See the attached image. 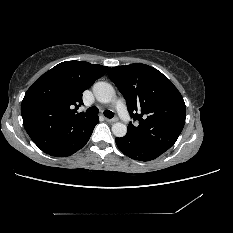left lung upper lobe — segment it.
Returning a JSON list of instances; mask_svg holds the SVG:
<instances>
[{"label": "left lung upper lobe", "instance_id": "1", "mask_svg": "<svg viewBox=\"0 0 233 233\" xmlns=\"http://www.w3.org/2000/svg\"><path fill=\"white\" fill-rule=\"evenodd\" d=\"M110 80L123 94L133 120L127 136L162 152L172 147L185 124V103L174 84L157 69L145 64L108 68Z\"/></svg>", "mask_w": 233, "mask_h": 233}]
</instances>
